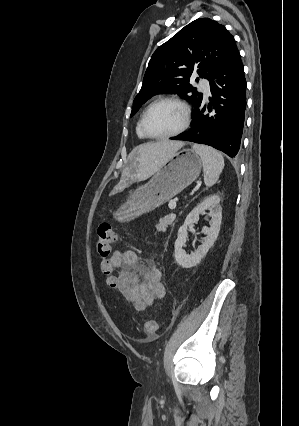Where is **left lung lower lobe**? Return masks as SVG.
Listing matches in <instances>:
<instances>
[{
    "instance_id": "0a47b994",
    "label": "left lung lower lobe",
    "mask_w": 299,
    "mask_h": 426,
    "mask_svg": "<svg viewBox=\"0 0 299 426\" xmlns=\"http://www.w3.org/2000/svg\"><path fill=\"white\" fill-rule=\"evenodd\" d=\"M246 87L240 53L233 51L210 81L212 98L202 102L193 114L192 127L172 140L212 146L230 157L238 155L243 132ZM214 111L213 115L205 110Z\"/></svg>"
}]
</instances>
